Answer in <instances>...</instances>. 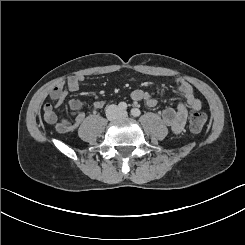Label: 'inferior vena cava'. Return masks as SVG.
Listing matches in <instances>:
<instances>
[{
    "label": "inferior vena cava",
    "instance_id": "1",
    "mask_svg": "<svg viewBox=\"0 0 245 245\" xmlns=\"http://www.w3.org/2000/svg\"><path fill=\"white\" fill-rule=\"evenodd\" d=\"M107 112H108L109 116L112 117L111 112L112 113H114V112L117 113L118 112V107L116 105H110L107 108Z\"/></svg>",
    "mask_w": 245,
    "mask_h": 245
}]
</instances>
